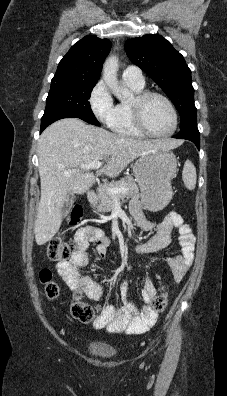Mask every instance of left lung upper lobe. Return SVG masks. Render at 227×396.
<instances>
[{"label":"left lung upper lobe","instance_id":"left-lung-upper-lobe-1","mask_svg":"<svg viewBox=\"0 0 227 396\" xmlns=\"http://www.w3.org/2000/svg\"><path fill=\"white\" fill-rule=\"evenodd\" d=\"M130 60L145 71L171 99L181 126L197 118L191 71L183 56L160 35H144L125 43Z\"/></svg>","mask_w":227,"mask_h":396}]
</instances>
